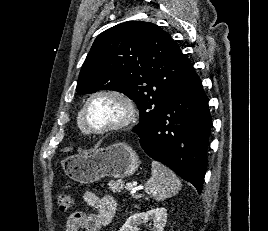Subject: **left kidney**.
<instances>
[{
    "label": "left kidney",
    "instance_id": "obj_1",
    "mask_svg": "<svg viewBox=\"0 0 268 231\" xmlns=\"http://www.w3.org/2000/svg\"><path fill=\"white\" fill-rule=\"evenodd\" d=\"M153 221L151 231H163L167 222V210L163 207L130 216L119 231H138V226Z\"/></svg>",
    "mask_w": 268,
    "mask_h": 231
}]
</instances>
